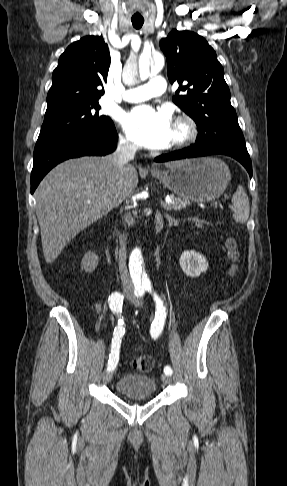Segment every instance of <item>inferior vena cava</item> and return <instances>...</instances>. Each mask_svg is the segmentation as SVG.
<instances>
[{"instance_id": "inferior-vena-cava-1", "label": "inferior vena cava", "mask_w": 287, "mask_h": 486, "mask_svg": "<svg viewBox=\"0 0 287 486\" xmlns=\"http://www.w3.org/2000/svg\"><path fill=\"white\" fill-rule=\"evenodd\" d=\"M138 146L133 142L126 140L123 137L119 138L116 151L111 155V162L114 169L123 175L125 173L128 162L134 159ZM126 235L120 237L119 248V272L123 288L125 290H133V284L128 274L126 266Z\"/></svg>"}]
</instances>
